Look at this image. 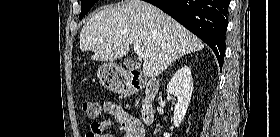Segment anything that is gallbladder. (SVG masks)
I'll use <instances>...</instances> for the list:
<instances>
[{
  "mask_svg": "<svg viewBox=\"0 0 280 137\" xmlns=\"http://www.w3.org/2000/svg\"><path fill=\"white\" fill-rule=\"evenodd\" d=\"M124 65L128 70L139 69L140 65L131 59H127L124 61Z\"/></svg>",
  "mask_w": 280,
  "mask_h": 137,
  "instance_id": "1",
  "label": "gallbladder"
}]
</instances>
